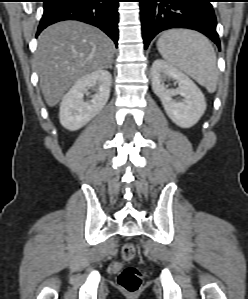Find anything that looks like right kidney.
Returning <instances> with one entry per match:
<instances>
[{"label": "right kidney", "instance_id": "1", "mask_svg": "<svg viewBox=\"0 0 248 299\" xmlns=\"http://www.w3.org/2000/svg\"><path fill=\"white\" fill-rule=\"evenodd\" d=\"M111 74L107 70H96L78 79L63 97L59 118L63 127L78 130L92 120L106 105L110 96ZM92 89L96 93L89 101L84 95Z\"/></svg>", "mask_w": 248, "mask_h": 299}]
</instances>
